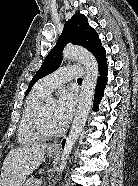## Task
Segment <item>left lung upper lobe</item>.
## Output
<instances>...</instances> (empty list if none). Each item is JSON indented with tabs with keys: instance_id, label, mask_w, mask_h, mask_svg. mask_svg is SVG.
<instances>
[{
	"instance_id": "5c2ea615",
	"label": "left lung upper lobe",
	"mask_w": 138,
	"mask_h": 186,
	"mask_svg": "<svg viewBox=\"0 0 138 186\" xmlns=\"http://www.w3.org/2000/svg\"><path fill=\"white\" fill-rule=\"evenodd\" d=\"M69 42H72L75 45H81L92 52L96 57L99 67L106 63V52L100 43L98 34L89 26L88 19L84 15L75 13L72 18L65 23L63 32L56 45L46 56L40 69L34 75L25 95L29 93L31 87L38 79L59 68L62 62L63 48Z\"/></svg>"
}]
</instances>
